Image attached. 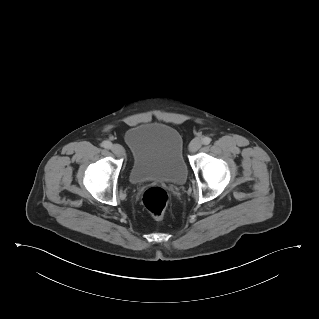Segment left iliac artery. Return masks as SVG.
Segmentation results:
<instances>
[{
    "mask_svg": "<svg viewBox=\"0 0 319 319\" xmlns=\"http://www.w3.org/2000/svg\"><path fill=\"white\" fill-rule=\"evenodd\" d=\"M210 142H211V138H210V137H204V138L202 139V143H203L204 145H208V144H210Z\"/></svg>",
    "mask_w": 319,
    "mask_h": 319,
    "instance_id": "44dca946",
    "label": "left iliac artery"
}]
</instances>
